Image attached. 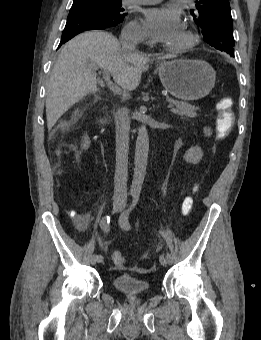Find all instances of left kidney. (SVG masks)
<instances>
[{
	"instance_id": "5707ae66",
	"label": "left kidney",
	"mask_w": 261,
	"mask_h": 340,
	"mask_svg": "<svg viewBox=\"0 0 261 340\" xmlns=\"http://www.w3.org/2000/svg\"><path fill=\"white\" fill-rule=\"evenodd\" d=\"M203 157V151L201 147L196 146L187 150L183 156L184 160L188 163L197 164Z\"/></svg>"
}]
</instances>
